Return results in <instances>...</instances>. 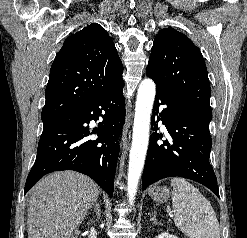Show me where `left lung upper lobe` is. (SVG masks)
Here are the masks:
<instances>
[{
	"label": "left lung upper lobe",
	"mask_w": 247,
	"mask_h": 238,
	"mask_svg": "<svg viewBox=\"0 0 247 238\" xmlns=\"http://www.w3.org/2000/svg\"><path fill=\"white\" fill-rule=\"evenodd\" d=\"M146 71L168 97L212 119L207 68L202 54L186 35L173 28L160 30Z\"/></svg>",
	"instance_id": "left-lung-upper-lobe-1"
}]
</instances>
